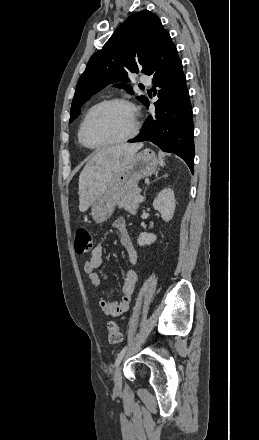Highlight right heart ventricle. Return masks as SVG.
I'll return each mask as SVG.
<instances>
[{
  "label": "right heart ventricle",
  "instance_id": "1",
  "mask_svg": "<svg viewBox=\"0 0 259 440\" xmlns=\"http://www.w3.org/2000/svg\"><path fill=\"white\" fill-rule=\"evenodd\" d=\"M77 137H78V141L80 142V138H79V130H78ZM80 143H81V142H80Z\"/></svg>",
  "mask_w": 259,
  "mask_h": 440
}]
</instances>
